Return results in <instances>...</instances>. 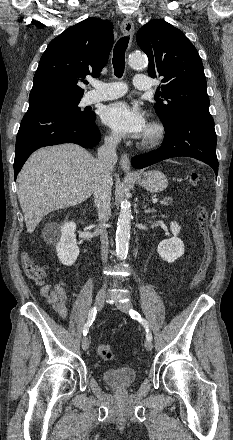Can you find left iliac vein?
I'll return each mask as SVG.
<instances>
[{"mask_svg": "<svg viewBox=\"0 0 233 440\" xmlns=\"http://www.w3.org/2000/svg\"><path fill=\"white\" fill-rule=\"evenodd\" d=\"M115 305L119 310L126 313L129 312V310L131 309V304L129 302L126 303L117 302ZM144 346L148 351H151L153 348V344L150 340H146Z\"/></svg>", "mask_w": 233, "mask_h": 440, "instance_id": "obj_1", "label": "left iliac vein"}]
</instances>
